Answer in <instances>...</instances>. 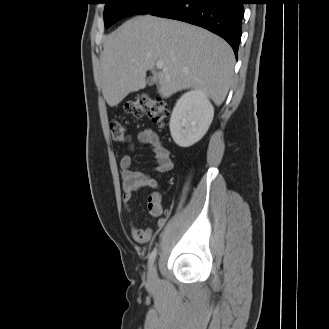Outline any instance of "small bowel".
I'll list each match as a JSON object with an SVG mask.
<instances>
[{"label":"small bowel","instance_id":"small-bowel-1","mask_svg":"<svg viewBox=\"0 0 329 329\" xmlns=\"http://www.w3.org/2000/svg\"><path fill=\"white\" fill-rule=\"evenodd\" d=\"M139 142L148 146L154 154L156 160L155 170L157 173H166L173 167L169 150L162 144L159 136L152 130H142L138 134ZM131 156L124 154L120 159L121 178L123 188V202L125 210L130 213V202L135 192L145 188L152 189V193L148 197V211L156 218V224L159 228L165 225L166 219L162 217V195L159 189V181L157 178L150 176L142 171L131 168ZM130 232L132 238L139 244L149 243L153 238L150 228H139L134 222H130Z\"/></svg>","mask_w":329,"mask_h":329}]
</instances>
